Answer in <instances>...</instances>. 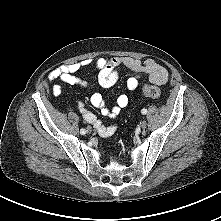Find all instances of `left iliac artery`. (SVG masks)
I'll use <instances>...</instances> for the list:
<instances>
[{"instance_id": "44dca946", "label": "left iliac artery", "mask_w": 221, "mask_h": 221, "mask_svg": "<svg viewBox=\"0 0 221 221\" xmlns=\"http://www.w3.org/2000/svg\"><path fill=\"white\" fill-rule=\"evenodd\" d=\"M141 113H142V114H146V113H147V110H146V109H142V110H141Z\"/></svg>"}]
</instances>
